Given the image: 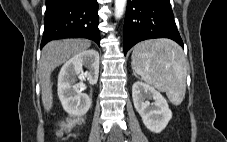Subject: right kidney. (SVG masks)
I'll return each mask as SVG.
<instances>
[{"label":"right kidney","instance_id":"1","mask_svg":"<svg viewBox=\"0 0 227 142\" xmlns=\"http://www.w3.org/2000/svg\"><path fill=\"white\" fill-rule=\"evenodd\" d=\"M83 66L88 69L85 73ZM98 75L99 53L93 49L75 55L62 66L58 76V96L67 113L83 116L88 112L92 101L87 94L82 93V80L86 77L90 85H95ZM77 78L81 81L77 82Z\"/></svg>","mask_w":227,"mask_h":142}]
</instances>
